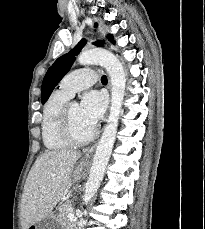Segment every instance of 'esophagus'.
Instances as JSON below:
<instances>
[{
	"instance_id": "34e87169",
	"label": "esophagus",
	"mask_w": 205,
	"mask_h": 229,
	"mask_svg": "<svg viewBox=\"0 0 205 229\" xmlns=\"http://www.w3.org/2000/svg\"><path fill=\"white\" fill-rule=\"evenodd\" d=\"M97 142H94L93 144H91L89 147H87L84 150V157L85 158H90L94 152V149L96 147Z\"/></svg>"
}]
</instances>
